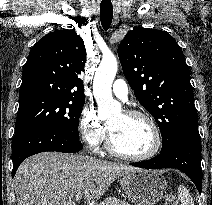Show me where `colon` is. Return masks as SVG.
Masks as SVG:
<instances>
[{"label":"colon","instance_id":"obj_1","mask_svg":"<svg viewBox=\"0 0 212 205\" xmlns=\"http://www.w3.org/2000/svg\"><path fill=\"white\" fill-rule=\"evenodd\" d=\"M164 205H177V200H176L175 195H173V194L168 195L166 197Z\"/></svg>","mask_w":212,"mask_h":205}]
</instances>
